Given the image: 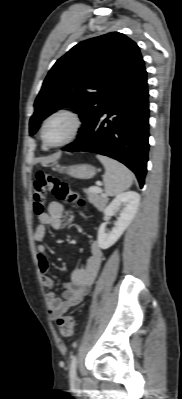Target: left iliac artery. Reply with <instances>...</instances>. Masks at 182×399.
Segmentation results:
<instances>
[{
    "mask_svg": "<svg viewBox=\"0 0 182 399\" xmlns=\"http://www.w3.org/2000/svg\"><path fill=\"white\" fill-rule=\"evenodd\" d=\"M77 356H73L70 364V376L76 377Z\"/></svg>",
    "mask_w": 182,
    "mask_h": 399,
    "instance_id": "1",
    "label": "left iliac artery"
}]
</instances>
